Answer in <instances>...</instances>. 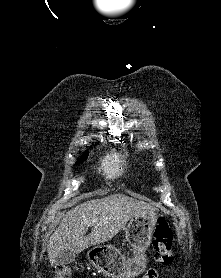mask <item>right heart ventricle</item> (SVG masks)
Listing matches in <instances>:
<instances>
[{
	"instance_id": "1",
	"label": "right heart ventricle",
	"mask_w": 221,
	"mask_h": 278,
	"mask_svg": "<svg viewBox=\"0 0 221 278\" xmlns=\"http://www.w3.org/2000/svg\"><path fill=\"white\" fill-rule=\"evenodd\" d=\"M125 162L124 156L113 154L105 160L103 165L104 171L109 177H115L123 172Z\"/></svg>"
}]
</instances>
